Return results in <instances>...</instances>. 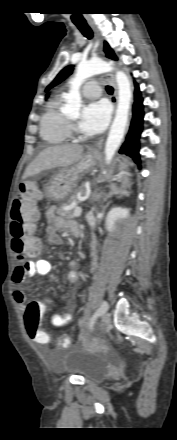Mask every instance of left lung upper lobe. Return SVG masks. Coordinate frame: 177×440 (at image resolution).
I'll use <instances>...</instances> for the list:
<instances>
[{
  "instance_id": "1",
  "label": "left lung upper lobe",
  "mask_w": 177,
  "mask_h": 440,
  "mask_svg": "<svg viewBox=\"0 0 177 440\" xmlns=\"http://www.w3.org/2000/svg\"><path fill=\"white\" fill-rule=\"evenodd\" d=\"M104 52L106 53L107 57L110 59L116 60L117 57L113 50L110 48L107 42H105L104 45ZM73 70V66H67L61 72L57 75V77L53 80V82L46 88V91H48L50 88L54 87L55 85L59 84L62 80L67 78Z\"/></svg>"
}]
</instances>
